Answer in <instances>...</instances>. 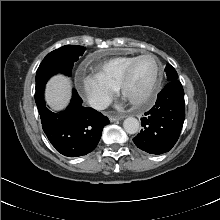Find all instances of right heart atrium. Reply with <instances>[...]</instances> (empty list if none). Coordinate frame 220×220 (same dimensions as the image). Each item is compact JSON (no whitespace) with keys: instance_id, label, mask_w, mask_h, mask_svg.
Returning a JSON list of instances; mask_svg holds the SVG:
<instances>
[{"instance_id":"1","label":"right heart atrium","mask_w":220,"mask_h":220,"mask_svg":"<svg viewBox=\"0 0 220 220\" xmlns=\"http://www.w3.org/2000/svg\"><path fill=\"white\" fill-rule=\"evenodd\" d=\"M77 85L81 95L96 110H102L113 99L116 88L97 75H79Z\"/></svg>"}]
</instances>
